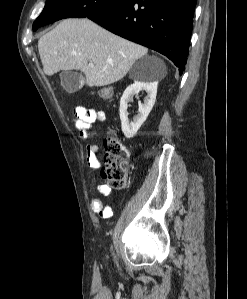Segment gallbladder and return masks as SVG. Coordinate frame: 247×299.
<instances>
[{
  "mask_svg": "<svg viewBox=\"0 0 247 299\" xmlns=\"http://www.w3.org/2000/svg\"><path fill=\"white\" fill-rule=\"evenodd\" d=\"M59 76L62 88L68 93H75L83 86L84 78L77 71H62Z\"/></svg>",
  "mask_w": 247,
  "mask_h": 299,
  "instance_id": "obj_1",
  "label": "gallbladder"
}]
</instances>
